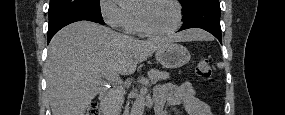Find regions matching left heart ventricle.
<instances>
[{"label":"left heart ventricle","instance_id":"b2bd125f","mask_svg":"<svg viewBox=\"0 0 285 115\" xmlns=\"http://www.w3.org/2000/svg\"><path fill=\"white\" fill-rule=\"evenodd\" d=\"M136 10L144 25L152 31H168L176 25L175 8L167 1L142 2Z\"/></svg>","mask_w":285,"mask_h":115}]
</instances>
